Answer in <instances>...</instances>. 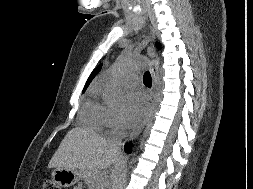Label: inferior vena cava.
I'll list each match as a JSON object with an SVG mask.
<instances>
[{
	"mask_svg": "<svg viewBox=\"0 0 253 189\" xmlns=\"http://www.w3.org/2000/svg\"><path fill=\"white\" fill-rule=\"evenodd\" d=\"M110 144H111L114 151L119 152V149H120V146H121V139L113 141Z\"/></svg>",
	"mask_w": 253,
	"mask_h": 189,
	"instance_id": "inferior-vena-cava-1",
	"label": "inferior vena cava"
}]
</instances>
